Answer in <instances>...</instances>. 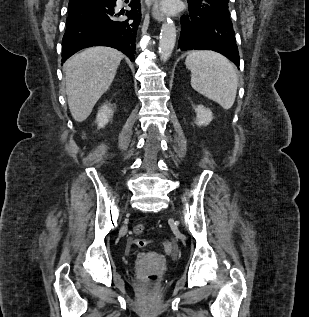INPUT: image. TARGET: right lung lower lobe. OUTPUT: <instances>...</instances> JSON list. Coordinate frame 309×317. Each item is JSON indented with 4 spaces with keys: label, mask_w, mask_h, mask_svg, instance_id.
Wrapping results in <instances>:
<instances>
[{
    "label": "right lung lower lobe",
    "mask_w": 309,
    "mask_h": 317,
    "mask_svg": "<svg viewBox=\"0 0 309 317\" xmlns=\"http://www.w3.org/2000/svg\"><path fill=\"white\" fill-rule=\"evenodd\" d=\"M116 0H70L67 28L62 41V62L91 46H110L131 60L141 21V5L132 0L129 10L115 9Z\"/></svg>",
    "instance_id": "right-lung-lower-lobe-1"
}]
</instances>
